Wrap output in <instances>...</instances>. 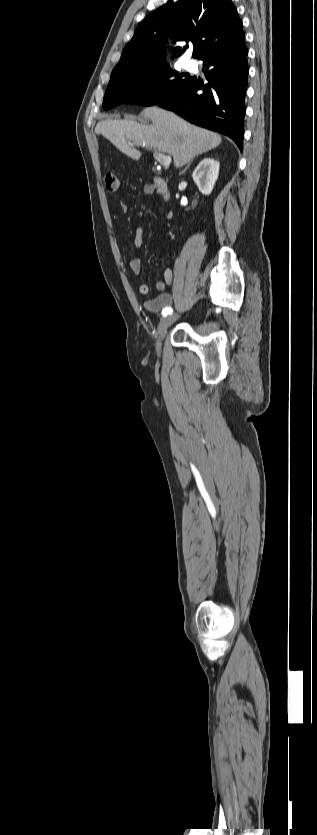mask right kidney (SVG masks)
<instances>
[{
  "label": "right kidney",
  "instance_id": "ca27d5eb",
  "mask_svg": "<svg viewBox=\"0 0 317 835\" xmlns=\"http://www.w3.org/2000/svg\"><path fill=\"white\" fill-rule=\"evenodd\" d=\"M219 174V162L213 158L203 159L192 174V178L200 192L209 195Z\"/></svg>",
  "mask_w": 317,
  "mask_h": 835
}]
</instances>
